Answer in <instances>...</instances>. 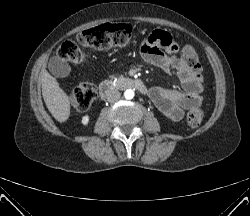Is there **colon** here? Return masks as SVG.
Listing matches in <instances>:
<instances>
[{"mask_svg":"<svg viewBox=\"0 0 250 216\" xmlns=\"http://www.w3.org/2000/svg\"><path fill=\"white\" fill-rule=\"evenodd\" d=\"M135 38V31L130 24L106 23L77 35V42L65 41L58 50L60 59L79 64L85 60V54L79 45L95 49H109L125 47ZM180 62L184 69L197 74L201 70L198 54L194 47L186 45L180 53ZM96 98V88L91 83H82L76 86L70 93V101L77 112L86 111ZM204 112L200 107L191 109L187 115L190 126L196 127L203 120Z\"/></svg>","mask_w":250,"mask_h":216,"instance_id":"5ec220e1","label":"colon"}]
</instances>
